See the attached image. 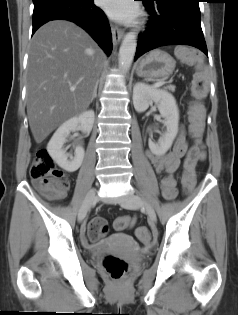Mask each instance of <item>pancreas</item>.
I'll list each match as a JSON object with an SVG mask.
<instances>
[{"instance_id": "cf45deb5", "label": "pancreas", "mask_w": 238, "mask_h": 315, "mask_svg": "<svg viewBox=\"0 0 238 315\" xmlns=\"http://www.w3.org/2000/svg\"><path fill=\"white\" fill-rule=\"evenodd\" d=\"M165 89H168V90L174 92L175 91V86L174 85H168V86L165 87Z\"/></svg>"}]
</instances>
